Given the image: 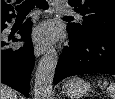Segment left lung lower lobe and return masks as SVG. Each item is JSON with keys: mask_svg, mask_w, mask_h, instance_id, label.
Returning a JSON list of instances; mask_svg holds the SVG:
<instances>
[{"mask_svg": "<svg viewBox=\"0 0 115 99\" xmlns=\"http://www.w3.org/2000/svg\"><path fill=\"white\" fill-rule=\"evenodd\" d=\"M90 73L115 75V37L78 40L69 33L68 46L63 48L55 70L54 84L69 76Z\"/></svg>", "mask_w": 115, "mask_h": 99, "instance_id": "1", "label": "left lung lower lobe"}]
</instances>
